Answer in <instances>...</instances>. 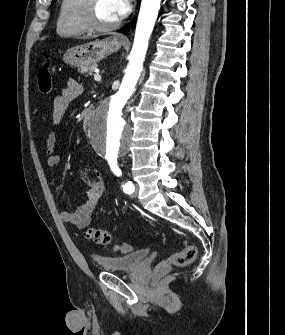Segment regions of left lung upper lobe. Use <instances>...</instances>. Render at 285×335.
<instances>
[{
	"label": "left lung upper lobe",
	"instance_id": "obj_1",
	"mask_svg": "<svg viewBox=\"0 0 285 335\" xmlns=\"http://www.w3.org/2000/svg\"><path fill=\"white\" fill-rule=\"evenodd\" d=\"M56 2V0H52V5Z\"/></svg>",
	"mask_w": 285,
	"mask_h": 335
}]
</instances>
